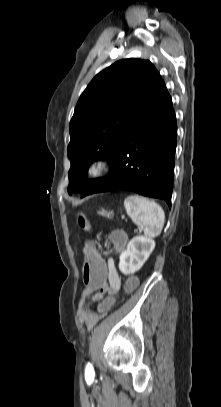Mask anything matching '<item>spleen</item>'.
Masks as SVG:
<instances>
[{
  "mask_svg": "<svg viewBox=\"0 0 221 407\" xmlns=\"http://www.w3.org/2000/svg\"><path fill=\"white\" fill-rule=\"evenodd\" d=\"M128 216L150 238L158 236L163 228L165 214L155 201L139 195H130L124 201Z\"/></svg>",
  "mask_w": 221,
  "mask_h": 407,
  "instance_id": "obj_1",
  "label": "spleen"
}]
</instances>
